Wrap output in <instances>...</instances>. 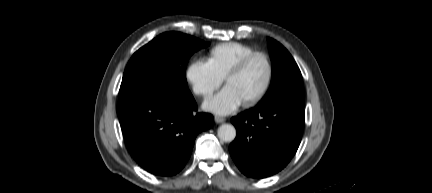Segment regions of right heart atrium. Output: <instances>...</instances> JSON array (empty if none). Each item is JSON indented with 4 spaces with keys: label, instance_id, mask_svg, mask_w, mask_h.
<instances>
[{
    "label": "right heart atrium",
    "instance_id": "d8ad5b80",
    "mask_svg": "<svg viewBox=\"0 0 432 193\" xmlns=\"http://www.w3.org/2000/svg\"><path fill=\"white\" fill-rule=\"evenodd\" d=\"M192 91L203 98L212 96L221 85V79L211 70L207 62H192L186 71Z\"/></svg>",
    "mask_w": 432,
    "mask_h": 193
}]
</instances>
